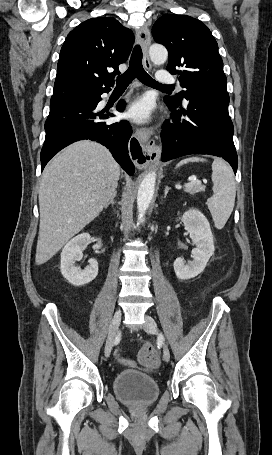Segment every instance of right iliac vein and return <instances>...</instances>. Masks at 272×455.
<instances>
[{
	"label": "right iliac vein",
	"instance_id": "right-iliac-vein-1",
	"mask_svg": "<svg viewBox=\"0 0 272 455\" xmlns=\"http://www.w3.org/2000/svg\"><path fill=\"white\" fill-rule=\"evenodd\" d=\"M121 315H122L121 310H117L112 318L104 349V354L106 358H108L111 354V350L113 348L115 341V336L120 325Z\"/></svg>",
	"mask_w": 272,
	"mask_h": 455
}]
</instances>
